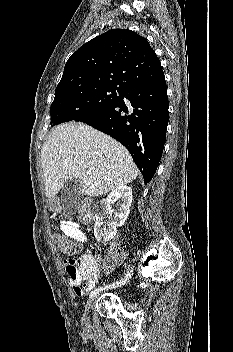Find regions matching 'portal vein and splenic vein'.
I'll use <instances>...</instances> for the list:
<instances>
[{
    "label": "portal vein and splenic vein",
    "mask_w": 233,
    "mask_h": 352,
    "mask_svg": "<svg viewBox=\"0 0 233 352\" xmlns=\"http://www.w3.org/2000/svg\"><path fill=\"white\" fill-rule=\"evenodd\" d=\"M86 173L88 174V175H90L91 173H92V171L91 170H86Z\"/></svg>",
    "instance_id": "18ae733b"
}]
</instances>
